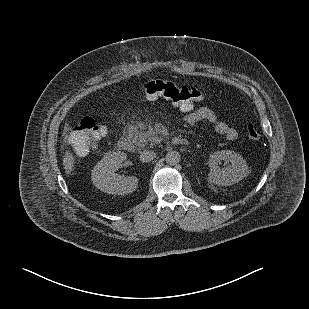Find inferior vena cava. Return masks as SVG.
I'll return each mask as SVG.
<instances>
[{
    "instance_id": "1",
    "label": "inferior vena cava",
    "mask_w": 309,
    "mask_h": 309,
    "mask_svg": "<svg viewBox=\"0 0 309 309\" xmlns=\"http://www.w3.org/2000/svg\"><path fill=\"white\" fill-rule=\"evenodd\" d=\"M156 157V154L150 150H144L140 152V161L141 162H150Z\"/></svg>"
}]
</instances>
